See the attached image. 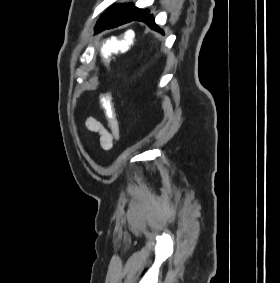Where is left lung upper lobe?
Masks as SVG:
<instances>
[{"label":"left lung upper lobe","instance_id":"obj_1","mask_svg":"<svg viewBox=\"0 0 280 283\" xmlns=\"http://www.w3.org/2000/svg\"><path fill=\"white\" fill-rule=\"evenodd\" d=\"M140 9L135 7L134 4H118L110 7L98 20L95 30L104 24L106 21H111L116 18H129L134 16Z\"/></svg>","mask_w":280,"mask_h":283}]
</instances>
